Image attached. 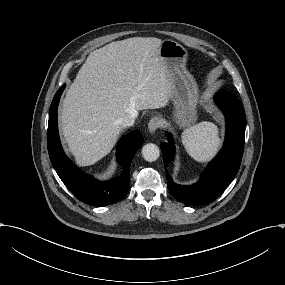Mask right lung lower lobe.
Masks as SVG:
<instances>
[{"mask_svg":"<svg viewBox=\"0 0 285 285\" xmlns=\"http://www.w3.org/2000/svg\"><path fill=\"white\" fill-rule=\"evenodd\" d=\"M64 88L65 84L56 92L49 110L47 139L51 163L65 186L80 201L94 206L114 204L129 191L131 161L143 144V137L135 130L118 142L117 161L123 166L119 177L100 182L82 173L65 155L58 135L57 108Z\"/></svg>","mask_w":285,"mask_h":285,"instance_id":"obj_1","label":"right lung lower lobe"}]
</instances>
